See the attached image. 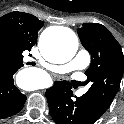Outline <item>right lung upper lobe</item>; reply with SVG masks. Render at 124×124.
I'll return each instance as SVG.
<instances>
[{"label":"right lung upper lobe","instance_id":"right-lung-upper-lobe-1","mask_svg":"<svg viewBox=\"0 0 124 124\" xmlns=\"http://www.w3.org/2000/svg\"><path fill=\"white\" fill-rule=\"evenodd\" d=\"M32 14L14 11L0 18V67L21 68L22 52L36 44L38 31L43 27Z\"/></svg>","mask_w":124,"mask_h":124}]
</instances>
